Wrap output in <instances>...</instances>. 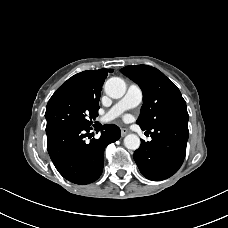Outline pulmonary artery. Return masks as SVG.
I'll return each instance as SVG.
<instances>
[{"label":"pulmonary artery","mask_w":228,"mask_h":228,"mask_svg":"<svg viewBox=\"0 0 228 228\" xmlns=\"http://www.w3.org/2000/svg\"><path fill=\"white\" fill-rule=\"evenodd\" d=\"M143 100L142 89L137 84L129 85L125 95L102 118V122H109L124 111L138 106Z\"/></svg>","instance_id":"pulmonary-artery-1"}]
</instances>
